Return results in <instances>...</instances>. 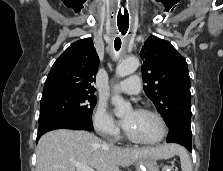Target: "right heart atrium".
I'll return each instance as SVG.
<instances>
[{
    "instance_id": "1",
    "label": "right heart atrium",
    "mask_w": 223,
    "mask_h": 171,
    "mask_svg": "<svg viewBox=\"0 0 223 171\" xmlns=\"http://www.w3.org/2000/svg\"><path fill=\"white\" fill-rule=\"evenodd\" d=\"M93 125L96 131L105 137L114 139L120 131L116 121L103 104H99L93 115Z\"/></svg>"
}]
</instances>
